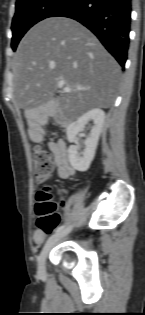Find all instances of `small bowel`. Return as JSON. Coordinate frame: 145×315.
Instances as JSON below:
<instances>
[{
  "label": "small bowel",
  "mask_w": 145,
  "mask_h": 315,
  "mask_svg": "<svg viewBox=\"0 0 145 315\" xmlns=\"http://www.w3.org/2000/svg\"><path fill=\"white\" fill-rule=\"evenodd\" d=\"M29 134L31 138L37 142H42L44 139V131L42 128V120L38 118L37 120L32 121L28 127ZM47 146L51 155L53 157L54 165L56 168V172L59 178L68 179L74 173V168L69 162L68 158V148L67 144L64 140L58 141H49L47 142ZM37 182H40V179H36ZM64 205V202H62ZM37 225V224H36ZM46 233H41L40 229H36L33 233V241L36 244L42 243L45 238Z\"/></svg>",
  "instance_id": "c3829d8e"
}]
</instances>
